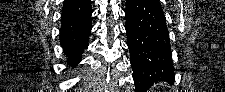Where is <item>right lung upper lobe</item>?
<instances>
[{
  "label": "right lung upper lobe",
  "mask_w": 225,
  "mask_h": 92,
  "mask_svg": "<svg viewBox=\"0 0 225 92\" xmlns=\"http://www.w3.org/2000/svg\"><path fill=\"white\" fill-rule=\"evenodd\" d=\"M91 11L90 0H65L62 9L61 22L78 19Z\"/></svg>",
  "instance_id": "1"
}]
</instances>
